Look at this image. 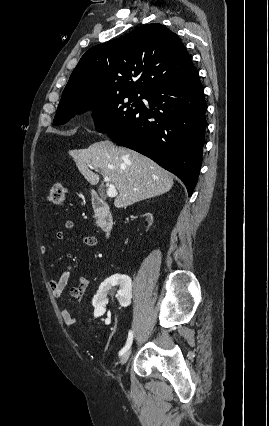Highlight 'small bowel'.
Segmentation results:
<instances>
[{
  "label": "small bowel",
  "instance_id": "small-bowel-1",
  "mask_svg": "<svg viewBox=\"0 0 269 426\" xmlns=\"http://www.w3.org/2000/svg\"><path fill=\"white\" fill-rule=\"evenodd\" d=\"M64 228L67 231H71L74 228V223L72 221H66L64 224ZM64 238H65L64 231H58L55 235V239L57 241H62ZM81 241L83 244L89 247H95L98 244L97 238L92 235L83 236L81 238ZM41 251L42 253H46L47 247L42 246ZM73 270H74V266L72 264H68L58 278L49 279L48 285L55 299L61 298ZM89 285H90V280L87 277L78 278L75 285L72 286L69 290L70 296L76 299L82 298L85 295ZM60 313H61L62 320L66 324H73L77 321V317L73 315L65 305L60 306Z\"/></svg>",
  "mask_w": 269,
  "mask_h": 426
}]
</instances>
